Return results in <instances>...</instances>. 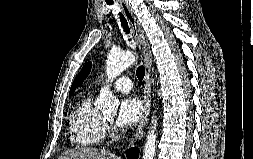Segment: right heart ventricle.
<instances>
[{
	"instance_id": "obj_1",
	"label": "right heart ventricle",
	"mask_w": 253,
	"mask_h": 159,
	"mask_svg": "<svg viewBox=\"0 0 253 159\" xmlns=\"http://www.w3.org/2000/svg\"><path fill=\"white\" fill-rule=\"evenodd\" d=\"M105 134L104 117L94 108L92 96H86L76 104L70 114V141L77 147L92 148L103 142Z\"/></svg>"
}]
</instances>
